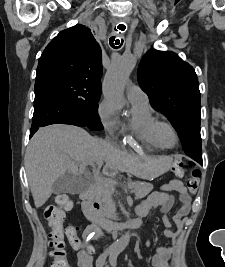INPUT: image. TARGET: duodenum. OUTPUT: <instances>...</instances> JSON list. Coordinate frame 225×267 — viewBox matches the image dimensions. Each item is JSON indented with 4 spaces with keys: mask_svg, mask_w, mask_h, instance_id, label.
<instances>
[{
    "mask_svg": "<svg viewBox=\"0 0 225 267\" xmlns=\"http://www.w3.org/2000/svg\"><path fill=\"white\" fill-rule=\"evenodd\" d=\"M82 210L88 220L106 230H119L121 228L135 229L141 224V221L138 219L127 220L124 223L111 221L101 214L100 205L96 201L90 200L88 195H85V200L82 202Z\"/></svg>",
    "mask_w": 225,
    "mask_h": 267,
    "instance_id": "duodenum-1",
    "label": "duodenum"
}]
</instances>
